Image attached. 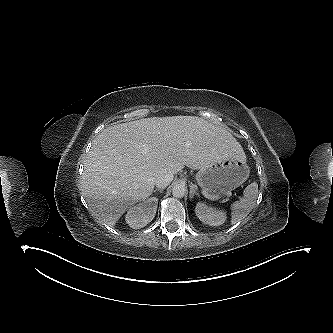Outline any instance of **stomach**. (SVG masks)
<instances>
[{"label": "stomach", "instance_id": "stomach-1", "mask_svg": "<svg viewBox=\"0 0 333 333\" xmlns=\"http://www.w3.org/2000/svg\"><path fill=\"white\" fill-rule=\"evenodd\" d=\"M249 173L245 159H227L200 169L196 174V181L201 188L210 193H223L242 185Z\"/></svg>", "mask_w": 333, "mask_h": 333}]
</instances>
